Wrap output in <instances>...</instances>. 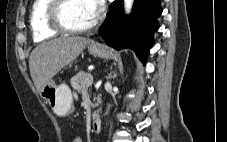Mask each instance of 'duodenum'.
Here are the masks:
<instances>
[{"mask_svg":"<svg viewBox=\"0 0 227 142\" xmlns=\"http://www.w3.org/2000/svg\"><path fill=\"white\" fill-rule=\"evenodd\" d=\"M102 121L99 117H95L92 121V131L98 133L101 130Z\"/></svg>","mask_w":227,"mask_h":142,"instance_id":"duodenum-1","label":"duodenum"}]
</instances>
